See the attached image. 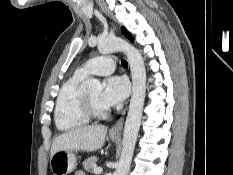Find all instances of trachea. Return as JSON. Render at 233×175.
<instances>
[{
	"mask_svg": "<svg viewBox=\"0 0 233 175\" xmlns=\"http://www.w3.org/2000/svg\"><path fill=\"white\" fill-rule=\"evenodd\" d=\"M121 64H122V66H123L124 68H127V66H128V63H127L126 60H122Z\"/></svg>",
	"mask_w": 233,
	"mask_h": 175,
	"instance_id": "1",
	"label": "trachea"
}]
</instances>
